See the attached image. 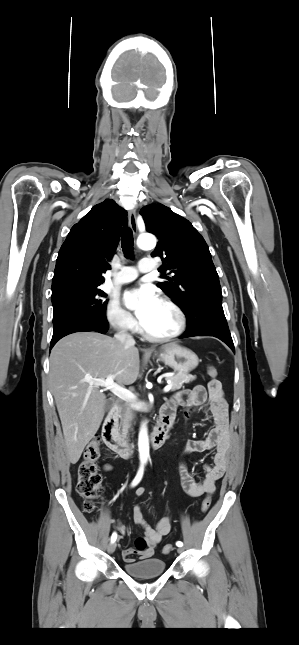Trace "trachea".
Segmentation results:
<instances>
[{"mask_svg": "<svg viewBox=\"0 0 299 645\" xmlns=\"http://www.w3.org/2000/svg\"><path fill=\"white\" fill-rule=\"evenodd\" d=\"M133 245H134V239H133V233L131 229L123 228L121 233V247L125 257L130 259L133 258L134 256Z\"/></svg>", "mask_w": 299, "mask_h": 645, "instance_id": "obj_1", "label": "trachea"}]
</instances>
